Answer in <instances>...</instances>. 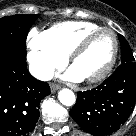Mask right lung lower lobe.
I'll use <instances>...</instances> for the list:
<instances>
[{"instance_id": "obj_1", "label": "right lung lower lobe", "mask_w": 136, "mask_h": 136, "mask_svg": "<svg viewBox=\"0 0 136 136\" xmlns=\"http://www.w3.org/2000/svg\"><path fill=\"white\" fill-rule=\"evenodd\" d=\"M49 94L48 83L32 77L25 61L0 58V136H27Z\"/></svg>"}]
</instances>
